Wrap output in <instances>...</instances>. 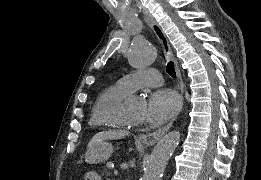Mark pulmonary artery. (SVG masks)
<instances>
[{
    "mask_svg": "<svg viewBox=\"0 0 261 180\" xmlns=\"http://www.w3.org/2000/svg\"><path fill=\"white\" fill-rule=\"evenodd\" d=\"M162 76L157 69H136L126 75H123L117 84L127 93L134 88L154 89L158 87V82Z\"/></svg>",
    "mask_w": 261,
    "mask_h": 180,
    "instance_id": "obj_1",
    "label": "pulmonary artery"
}]
</instances>
